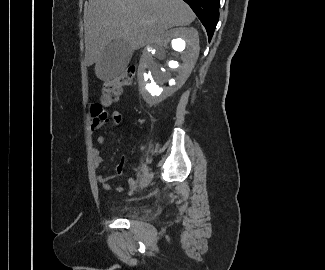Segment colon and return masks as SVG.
<instances>
[{"label": "colon", "mask_w": 325, "mask_h": 270, "mask_svg": "<svg viewBox=\"0 0 325 270\" xmlns=\"http://www.w3.org/2000/svg\"><path fill=\"white\" fill-rule=\"evenodd\" d=\"M135 73V67H128L118 77L105 81L102 89L101 103L104 106H110L115 103L120 97L123 87L132 82Z\"/></svg>", "instance_id": "5ec220e1"}]
</instances>
